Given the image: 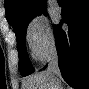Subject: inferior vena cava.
Instances as JSON below:
<instances>
[{
  "label": "inferior vena cava",
  "instance_id": "inferior-vena-cava-1",
  "mask_svg": "<svg viewBox=\"0 0 89 89\" xmlns=\"http://www.w3.org/2000/svg\"><path fill=\"white\" fill-rule=\"evenodd\" d=\"M47 72L57 78L61 76L60 69L58 66V55L56 51H53L49 55Z\"/></svg>",
  "mask_w": 89,
  "mask_h": 89
}]
</instances>
